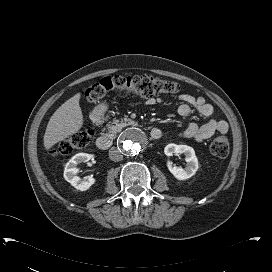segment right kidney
Segmentation results:
<instances>
[{
  "mask_svg": "<svg viewBox=\"0 0 272 272\" xmlns=\"http://www.w3.org/2000/svg\"><path fill=\"white\" fill-rule=\"evenodd\" d=\"M93 158V155L88 153H78L74 155L65 165L64 178L69 182L73 187L80 191L88 190L94 183L95 179L90 176L80 178L77 176L79 169L77 165L84 162H88Z\"/></svg>",
  "mask_w": 272,
  "mask_h": 272,
  "instance_id": "right-kidney-1",
  "label": "right kidney"
}]
</instances>
